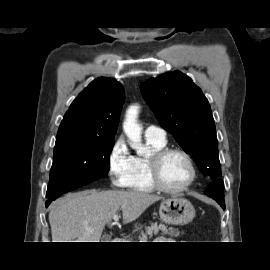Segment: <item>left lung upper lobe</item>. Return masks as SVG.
Returning <instances> with one entry per match:
<instances>
[{"instance_id": "obj_1", "label": "left lung upper lobe", "mask_w": 270, "mask_h": 270, "mask_svg": "<svg viewBox=\"0 0 270 270\" xmlns=\"http://www.w3.org/2000/svg\"><path fill=\"white\" fill-rule=\"evenodd\" d=\"M141 87L161 127L193 156L204 175L219 178L222 172L215 123L200 88L179 71L149 79Z\"/></svg>"}]
</instances>
